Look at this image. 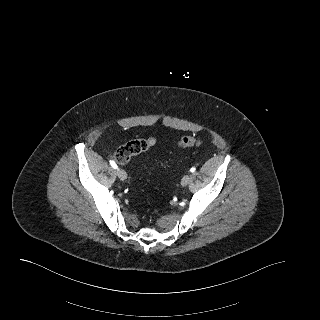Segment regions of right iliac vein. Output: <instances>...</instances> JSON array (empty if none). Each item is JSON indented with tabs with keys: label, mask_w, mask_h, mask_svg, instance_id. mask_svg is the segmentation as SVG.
I'll use <instances>...</instances> for the list:
<instances>
[{
	"label": "right iliac vein",
	"mask_w": 320,
	"mask_h": 320,
	"mask_svg": "<svg viewBox=\"0 0 320 320\" xmlns=\"http://www.w3.org/2000/svg\"><path fill=\"white\" fill-rule=\"evenodd\" d=\"M117 176L119 177L120 180L124 181L127 179L126 172L123 169H117Z\"/></svg>",
	"instance_id": "obj_1"
}]
</instances>
